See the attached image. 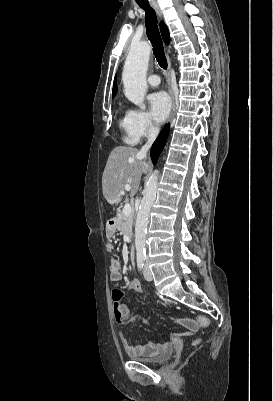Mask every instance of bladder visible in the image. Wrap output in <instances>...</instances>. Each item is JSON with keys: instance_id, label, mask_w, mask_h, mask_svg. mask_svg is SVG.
Returning <instances> with one entry per match:
<instances>
[{"instance_id": "1", "label": "bladder", "mask_w": 273, "mask_h": 401, "mask_svg": "<svg viewBox=\"0 0 273 401\" xmlns=\"http://www.w3.org/2000/svg\"><path fill=\"white\" fill-rule=\"evenodd\" d=\"M173 353H174V351L172 348H167L164 351H162L159 355L152 357V358H143V357L133 356V355H130V358L134 361L145 363V364L162 365L172 358Z\"/></svg>"}]
</instances>
